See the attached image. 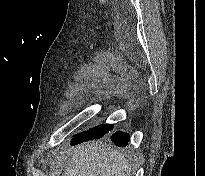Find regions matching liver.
Listing matches in <instances>:
<instances>
[{"label":"liver","mask_w":205,"mask_h":176,"mask_svg":"<svg viewBox=\"0 0 205 176\" xmlns=\"http://www.w3.org/2000/svg\"><path fill=\"white\" fill-rule=\"evenodd\" d=\"M62 176H130L125 153L116 148L88 142L71 148Z\"/></svg>","instance_id":"6515ba94"}]
</instances>
